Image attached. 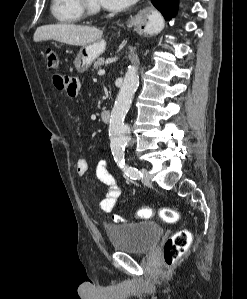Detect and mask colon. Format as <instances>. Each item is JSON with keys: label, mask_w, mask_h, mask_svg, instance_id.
Returning <instances> with one entry per match:
<instances>
[{"label": "colon", "mask_w": 247, "mask_h": 299, "mask_svg": "<svg viewBox=\"0 0 247 299\" xmlns=\"http://www.w3.org/2000/svg\"><path fill=\"white\" fill-rule=\"evenodd\" d=\"M46 64L49 69H56L59 61L56 52L52 49L45 51ZM158 214L160 218L168 223H174L179 219V213L171 208L162 207L155 211L152 208L144 207L138 210L139 218L148 219ZM191 242V234L187 230H180L169 237L163 247L164 260L167 265H172L188 249Z\"/></svg>", "instance_id": "1"}]
</instances>
